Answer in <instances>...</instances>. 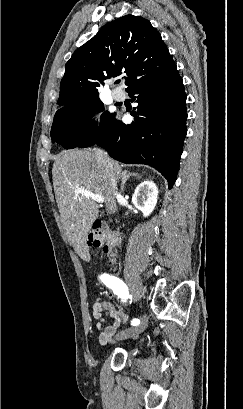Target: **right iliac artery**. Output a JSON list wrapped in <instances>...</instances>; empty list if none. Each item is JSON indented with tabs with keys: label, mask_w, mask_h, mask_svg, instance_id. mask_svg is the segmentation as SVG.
<instances>
[{
	"label": "right iliac artery",
	"mask_w": 243,
	"mask_h": 409,
	"mask_svg": "<svg viewBox=\"0 0 243 409\" xmlns=\"http://www.w3.org/2000/svg\"><path fill=\"white\" fill-rule=\"evenodd\" d=\"M100 279L107 287L112 289L113 292L116 295H118L120 298H122V299H128V298L132 299L131 295H129L127 286L125 285V283L121 279H119L117 277H114L112 275H109V274H105V273L100 276ZM139 323H140V320L137 319V318L133 319L132 322H131V324L133 326H136Z\"/></svg>",
	"instance_id": "right-iliac-artery-1"
}]
</instances>
